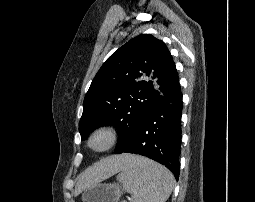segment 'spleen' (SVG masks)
<instances>
[{"instance_id":"spleen-1","label":"spleen","mask_w":255,"mask_h":202,"mask_svg":"<svg viewBox=\"0 0 255 202\" xmlns=\"http://www.w3.org/2000/svg\"><path fill=\"white\" fill-rule=\"evenodd\" d=\"M120 171L117 179L132 202H165L175 185L168 169L144 157L133 156Z\"/></svg>"}]
</instances>
